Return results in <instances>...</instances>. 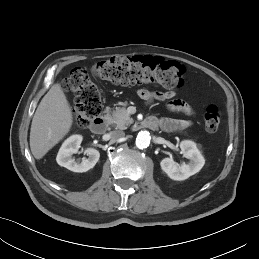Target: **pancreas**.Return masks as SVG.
<instances>
[{
	"label": "pancreas",
	"instance_id": "1",
	"mask_svg": "<svg viewBox=\"0 0 259 259\" xmlns=\"http://www.w3.org/2000/svg\"><path fill=\"white\" fill-rule=\"evenodd\" d=\"M106 118L119 129H126L133 123V119L124 107H117L111 113L107 112Z\"/></svg>",
	"mask_w": 259,
	"mask_h": 259
}]
</instances>
